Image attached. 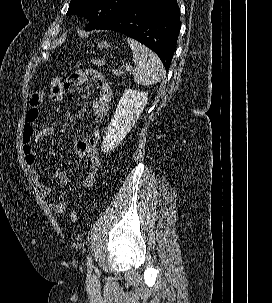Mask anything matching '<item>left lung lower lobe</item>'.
<instances>
[{"label": "left lung lower lobe", "instance_id": "0a47b994", "mask_svg": "<svg viewBox=\"0 0 272 303\" xmlns=\"http://www.w3.org/2000/svg\"><path fill=\"white\" fill-rule=\"evenodd\" d=\"M181 27L177 0H139L96 29L113 30L153 50L169 69Z\"/></svg>", "mask_w": 272, "mask_h": 303}]
</instances>
